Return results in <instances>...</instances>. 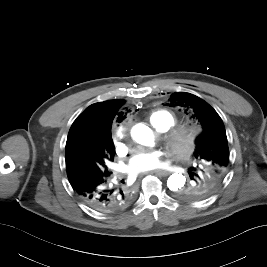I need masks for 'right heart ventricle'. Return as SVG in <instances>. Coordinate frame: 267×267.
Instances as JSON below:
<instances>
[{
  "mask_svg": "<svg viewBox=\"0 0 267 267\" xmlns=\"http://www.w3.org/2000/svg\"><path fill=\"white\" fill-rule=\"evenodd\" d=\"M148 120L150 124L160 132L171 129L177 123L175 114L165 109L152 112Z\"/></svg>",
  "mask_w": 267,
  "mask_h": 267,
  "instance_id": "obj_1",
  "label": "right heart ventricle"
}]
</instances>
